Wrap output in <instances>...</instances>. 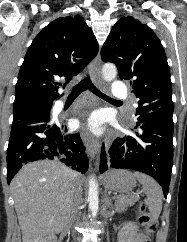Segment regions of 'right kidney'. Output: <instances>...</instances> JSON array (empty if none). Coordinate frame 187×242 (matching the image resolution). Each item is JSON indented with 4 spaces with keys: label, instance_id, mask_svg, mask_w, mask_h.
I'll use <instances>...</instances> for the list:
<instances>
[{
    "label": "right kidney",
    "instance_id": "obj_1",
    "mask_svg": "<svg viewBox=\"0 0 187 242\" xmlns=\"http://www.w3.org/2000/svg\"><path fill=\"white\" fill-rule=\"evenodd\" d=\"M43 242H57V238L55 235H51L47 237Z\"/></svg>",
    "mask_w": 187,
    "mask_h": 242
}]
</instances>
